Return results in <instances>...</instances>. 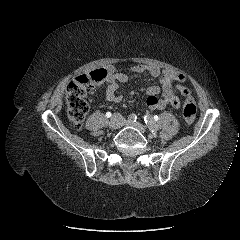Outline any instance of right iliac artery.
<instances>
[{
	"mask_svg": "<svg viewBox=\"0 0 240 240\" xmlns=\"http://www.w3.org/2000/svg\"><path fill=\"white\" fill-rule=\"evenodd\" d=\"M137 119V116L135 114H130L128 116V121L135 122Z\"/></svg>",
	"mask_w": 240,
	"mask_h": 240,
	"instance_id": "obj_1",
	"label": "right iliac artery"
}]
</instances>
